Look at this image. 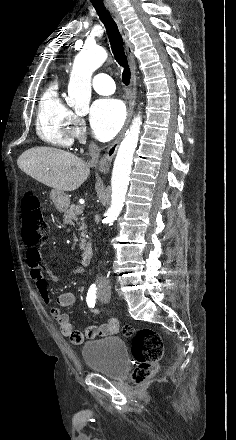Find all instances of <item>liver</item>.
I'll use <instances>...</instances> for the list:
<instances>
[{
  "mask_svg": "<svg viewBox=\"0 0 236 440\" xmlns=\"http://www.w3.org/2000/svg\"><path fill=\"white\" fill-rule=\"evenodd\" d=\"M18 167L40 183L74 191L88 178L90 165L76 155L53 147H33L17 160Z\"/></svg>",
  "mask_w": 236,
  "mask_h": 440,
  "instance_id": "1",
  "label": "liver"
}]
</instances>
